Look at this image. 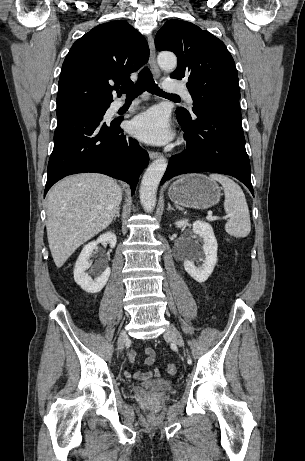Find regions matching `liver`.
Segmentation results:
<instances>
[{"label": "liver", "mask_w": 305, "mask_h": 461, "mask_svg": "<svg viewBox=\"0 0 305 461\" xmlns=\"http://www.w3.org/2000/svg\"><path fill=\"white\" fill-rule=\"evenodd\" d=\"M121 198L116 181L102 174L69 176L51 188L46 201V229L58 268L81 244L110 225Z\"/></svg>", "instance_id": "liver-1"}]
</instances>
